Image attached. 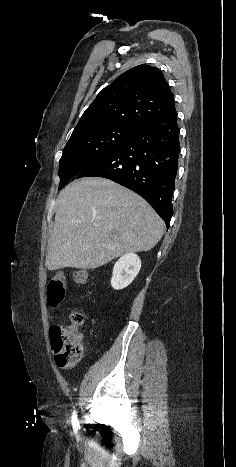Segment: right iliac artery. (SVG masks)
<instances>
[{"label":"right iliac artery","instance_id":"82829eb1","mask_svg":"<svg viewBox=\"0 0 236 467\" xmlns=\"http://www.w3.org/2000/svg\"><path fill=\"white\" fill-rule=\"evenodd\" d=\"M72 424H78L77 412L74 410L72 414Z\"/></svg>","mask_w":236,"mask_h":467}]
</instances>
